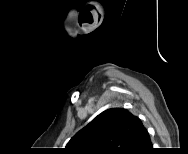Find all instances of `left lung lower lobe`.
<instances>
[{"label":"left lung lower lobe","mask_w":188,"mask_h":154,"mask_svg":"<svg viewBox=\"0 0 188 154\" xmlns=\"http://www.w3.org/2000/svg\"><path fill=\"white\" fill-rule=\"evenodd\" d=\"M152 147L149 134L143 126L141 120L136 117L134 122V132L128 154H141V152L150 150Z\"/></svg>","instance_id":"obj_1"}]
</instances>
